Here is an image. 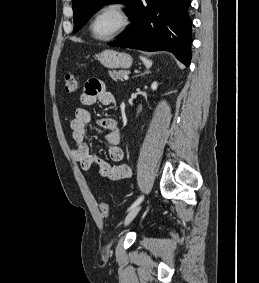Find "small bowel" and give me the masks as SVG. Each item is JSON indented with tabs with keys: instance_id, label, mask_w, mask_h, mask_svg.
I'll return each instance as SVG.
<instances>
[{
	"instance_id": "c3829d8e",
	"label": "small bowel",
	"mask_w": 259,
	"mask_h": 283,
	"mask_svg": "<svg viewBox=\"0 0 259 283\" xmlns=\"http://www.w3.org/2000/svg\"><path fill=\"white\" fill-rule=\"evenodd\" d=\"M97 101L106 106L115 104L114 96L106 90L104 84L96 79H90L86 82L84 91L80 96L82 106L75 110V116L70 123L72 138L76 145L72 149V156L83 170L95 169L98 176L110 181L130 178L131 169L126 163L122 162L124 151L120 146L121 134L114 118H102L98 121V125L106 131L107 152L113 164L90 152V144L87 141V125L91 121V113L86 107L95 104Z\"/></svg>"
}]
</instances>
